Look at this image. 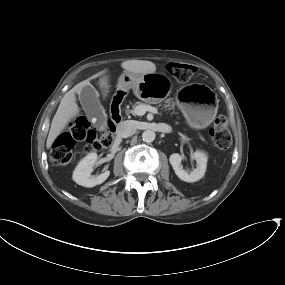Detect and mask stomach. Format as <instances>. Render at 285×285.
I'll use <instances>...</instances> for the list:
<instances>
[{
  "label": "stomach",
  "mask_w": 285,
  "mask_h": 285,
  "mask_svg": "<svg viewBox=\"0 0 285 285\" xmlns=\"http://www.w3.org/2000/svg\"><path fill=\"white\" fill-rule=\"evenodd\" d=\"M169 84L168 78L162 73L136 75L125 71L118 80V90L133 89L135 95L148 103L159 99L154 97L162 85ZM176 103L182 111L187 123L194 129L206 128L217 113L216 97L213 91L202 84H190L178 90Z\"/></svg>",
  "instance_id": "stomach-1"
}]
</instances>
